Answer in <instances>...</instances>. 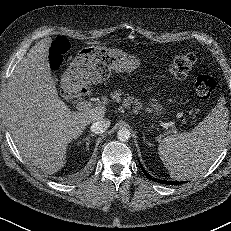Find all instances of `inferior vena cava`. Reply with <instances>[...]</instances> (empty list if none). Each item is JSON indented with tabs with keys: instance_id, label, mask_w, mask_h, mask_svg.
<instances>
[{
	"instance_id": "1",
	"label": "inferior vena cava",
	"mask_w": 231,
	"mask_h": 231,
	"mask_svg": "<svg viewBox=\"0 0 231 231\" xmlns=\"http://www.w3.org/2000/svg\"><path fill=\"white\" fill-rule=\"evenodd\" d=\"M110 120L108 119H100L92 123L91 131L95 134L104 133L110 126Z\"/></svg>"
}]
</instances>
